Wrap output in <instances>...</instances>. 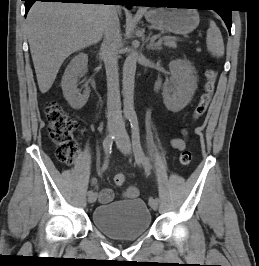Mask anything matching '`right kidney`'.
<instances>
[{
    "label": "right kidney",
    "mask_w": 259,
    "mask_h": 266,
    "mask_svg": "<svg viewBox=\"0 0 259 266\" xmlns=\"http://www.w3.org/2000/svg\"><path fill=\"white\" fill-rule=\"evenodd\" d=\"M88 56L85 53L76 55L67 66L61 81L63 95L73 109H81L87 102L90 94L88 84H85L83 94L77 88L78 79L87 71Z\"/></svg>",
    "instance_id": "ca27d5eb"
}]
</instances>
